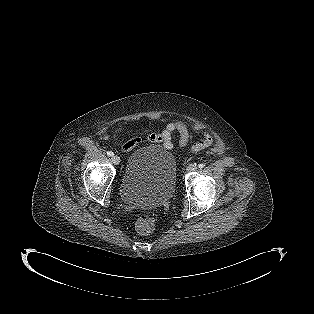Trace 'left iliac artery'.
<instances>
[{
  "label": "left iliac artery",
  "mask_w": 314,
  "mask_h": 314,
  "mask_svg": "<svg viewBox=\"0 0 314 314\" xmlns=\"http://www.w3.org/2000/svg\"><path fill=\"white\" fill-rule=\"evenodd\" d=\"M205 165L203 163L199 164L198 167L199 168H203Z\"/></svg>",
  "instance_id": "44dca946"
}]
</instances>
